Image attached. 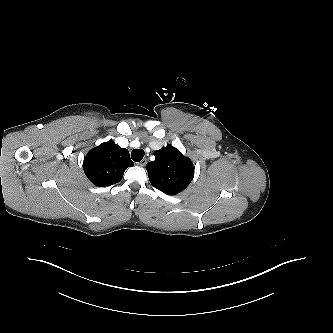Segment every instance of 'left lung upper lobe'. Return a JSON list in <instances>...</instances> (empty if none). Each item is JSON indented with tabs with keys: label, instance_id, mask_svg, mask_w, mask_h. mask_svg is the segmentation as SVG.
<instances>
[{
	"label": "left lung upper lobe",
	"instance_id": "1",
	"mask_svg": "<svg viewBox=\"0 0 333 333\" xmlns=\"http://www.w3.org/2000/svg\"><path fill=\"white\" fill-rule=\"evenodd\" d=\"M155 160L146 165L150 183L160 191L176 195L183 191L194 177L192 161L172 145L154 152Z\"/></svg>",
	"mask_w": 333,
	"mask_h": 333
}]
</instances>
